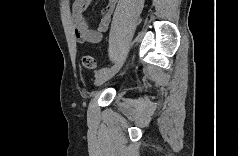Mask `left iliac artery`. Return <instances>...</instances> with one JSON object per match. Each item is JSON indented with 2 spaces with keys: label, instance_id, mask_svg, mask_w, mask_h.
I'll list each match as a JSON object with an SVG mask.
<instances>
[{
  "label": "left iliac artery",
  "instance_id": "obj_1",
  "mask_svg": "<svg viewBox=\"0 0 239 156\" xmlns=\"http://www.w3.org/2000/svg\"><path fill=\"white\" fill-rule=\"evenodd\" d=\"M106 70H108V67L101 68L95 72V77L103 74Z\"/></svg>",
  "mask_w": 239,
  "mask_h": 156
}]
</instances>
